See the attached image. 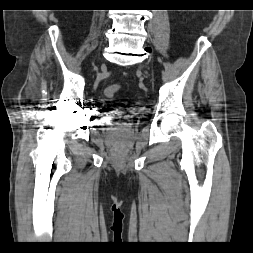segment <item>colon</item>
Returning <instances> with one entry per match:
<instances>
[{
	"instance_id": "1",
	"label": "colon",
	"mask_w": 253,
	"mask_h": 253,
	"mask_svg": "<svg viewBox=\"0 0 253 253\" xmlns=\"http://www.w3.org/2000/svg\"><path fill=\"white\" fill-rule=\"evenodd\" d=\"M120 90L119 84H111L105 89V95L108 97H112Z\"/></svg>"
}]
</instances>
